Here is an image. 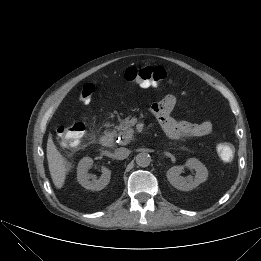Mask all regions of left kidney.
Here are the masks:
<instances>
[{"label": "left kidney", "mask_w": 261, "mask_h": 261, "mask_svg": "<svg viewBox=\"0 0 261 261\" xmlns=\"http://www.w3.org/2000/svg\"><path fill=\"white\" fill-rule=\"evenodd\" d=\"M195 170V177L181 176L184 168ZM208 178V170L198 159L190 158L185 165L173 166L167 171V179L175 188L182 191H190L205 182Z\"/></svg>", "instance_id": "5707ae66"}]
</instances>
